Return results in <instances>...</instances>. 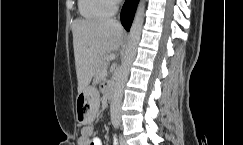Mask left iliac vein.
Instances as JSON below:
<instances>
[{"label":"left iliac vein","mask_w":243,"mask_h":145,"mask_svg":"<svg viewBox=\"0 0 243 145\" xmlns=\"http://www.w3.org/2000/svg\"><path fill=\"white\" fill-rule=\"evenodd\" d=\"M120 145H127L126 140L122 136L120 137Z\"/></svg>","instance_id":"obj_1"}]
</instances>
